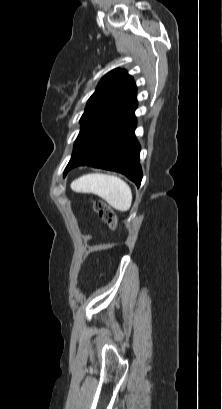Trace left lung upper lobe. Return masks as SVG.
Returning <instances> with one entry per match:
<instances>
[{"mask_svg":"<svg viewBox=\"0 0 222 409\" xmlns=\"http://www.w3.org/2000/svg\"><path fill=\"white\" fill-rule=\"evenodd\" d=\"M135 102L136 85L125 70L115 69L102 78L81 117V130L64 174L69 170L70 163L83 152L93 138Z\"/></svg>","mask_w":222,"mask_h":409,"instance_id":"5c2ea615","label":"left lung upper lobe"}]
</instances>
